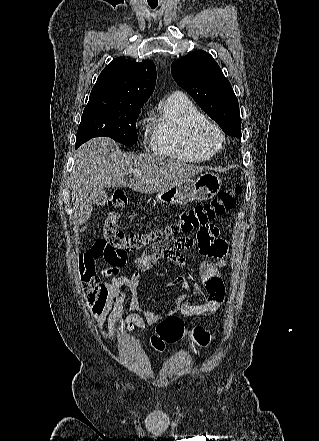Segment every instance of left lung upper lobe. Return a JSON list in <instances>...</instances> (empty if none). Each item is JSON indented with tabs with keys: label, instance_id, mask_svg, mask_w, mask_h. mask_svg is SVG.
<instances>
[{
	"label": "left lung upper lobe",
	"instance_id": "left-lung-upper-lobe-1",
	"mask_svg": "<svg viewBox=\"0 0 319 441\" xmlns=\"http://www.w3.org/2000/svg\"><path fill=\"white\" fill-rule=\"evenodd\" d=\"M176 83L232 138L241 137L240 111L233 88L213 57L202 50L174 61Z\"/></svg>",
	"mask_w": 319,
	"mask_h": 441
}]
</instances>
